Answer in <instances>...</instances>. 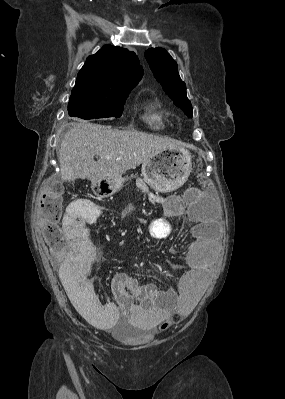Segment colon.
Returning a JSON list of instances; mask_svg holds the SVG:
<instances>
[{"instance_id":"5ec220e1","label":"colon","mask_w":285,"mask_h":399,"mask_svg":"<svg viewBox=\"0 0 285 399\" xmlns=\"http://www.w3.org/2000/svg\"><path fill=\"white\" fill-rule=\"evenodd\" d=\"M200 179L205 180L204 177ZM97 194L104 195L100 190H97ZM63 199V186L59 183H51L43 191L37 208L39 219L43 222L42 235L52 253L59 257L65 254L64 231L59 225Z\"/></svg>"}]
</instances>
